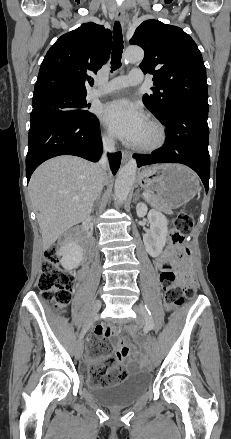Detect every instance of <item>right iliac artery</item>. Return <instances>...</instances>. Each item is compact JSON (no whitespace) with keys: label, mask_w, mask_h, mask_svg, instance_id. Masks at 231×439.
I'll return each mask as SVG.
<instances>
[{"label":"right iliac artery","mask_w":231,"mask_h":439,"mask_svg":"<svg viewBox=\"0 0 231 439\" xmlns=\"http://www.w3.org/2000/svg\"><path fill=\"white\" fill-rule=\"evenodd\" d=\"M90 327V326H89ZM89 327L87 329L84 330L83 334L81 335V337L84 335V333L87 332V330L89 329Z\"/></svg>","instance_id":"1"}]
</instances>
